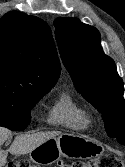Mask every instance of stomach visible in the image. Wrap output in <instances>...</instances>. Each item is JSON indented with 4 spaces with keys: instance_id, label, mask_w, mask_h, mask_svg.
Returning a JSON list of instances; mask_svg holds the SVG:
<instances>
[{
    "instance_id": "0dacf381",
    "label": "stomach",
    "mask_w": 125,
    "mask_h": 167,
    "mask_svg": "<svg viewBox=\"0 0 125 167\" xmlns=\"http://www.w3.org/2000/svg\"><path fill=\"white\" fill-rule=\"evenodd\" d=\"M103 147L94 140L80 134L65 133L48 139L30 153L36 164H52L61 157L91 158L103 153Z\"/></svg>"
}]
</instances>
